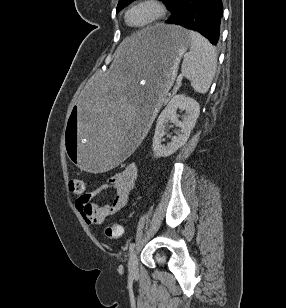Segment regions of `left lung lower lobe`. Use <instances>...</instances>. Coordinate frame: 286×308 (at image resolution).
Wrapping results in <instances>:
<instances>
[{
  "instance_id": "0a47b994",
  "label": "left lung lower lobe",
  "mask_w": 286,
  "mask_h": 308,
  "mask_svg": "<svg viewBox=\"0 0 286 308\" xmlns=\"http://www.w3.org/2000/svg\"><path fill=\"white\" fill-rule=\"evenodd\" d=\"M169 10L171 17L165 21L167 24L198 31L213 45L218 43L223 15L221 0H173Z\"/></svg>"
}]
</instances>
